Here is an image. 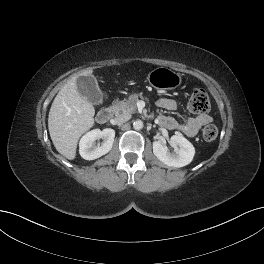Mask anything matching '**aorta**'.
<instances>
[{"instance_id": "762f6f07", "label": "aorta", "mask_w": 264, "mask_h": 264, "mask_svg": "<svg viewBox=\"0 0 264 264\" xmlns=\"http://www.w3.org/2000/svg\"><path fill=\"white\" fill-rule=\"evenodd\" d=\"M133 128L135 130H141L143 128V122L141 120H136L133 122Z\"/></svg>"}]
</instances>
